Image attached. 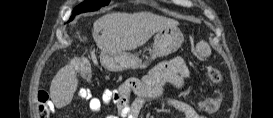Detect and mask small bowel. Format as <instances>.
Wrapping results in <instances>:
<instances>
[{"label":"small bowel","instance_id":"small-bowel-1","mask_svg":"<svg viewBox=\"0 0 273 118\" xmlns=\"http://www.w3.org/2000/svg\"><path fill=\"white\" fill-rule=\"evenodd\" d=\"M188 77L189 70L185 61L175 57L157 64L141 80H128L118 91L106 90L100 96H94L89 90L81 88L79 95L88 102L90 110L95 113L100 112L104 105L113 104L117 110L116 118H138L142 108L150 103H158L179 111L184 118H201L195 105L163 96L167 84L172 83L183 89ZM132 92L136 93L138 98L129 104ZM204 101L198 102L199 108Z\"/></svg>","mask_w":273,"mask_h":118}]
</instances>
